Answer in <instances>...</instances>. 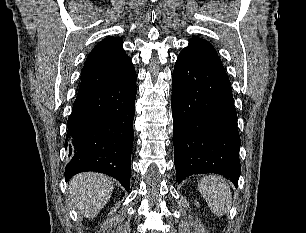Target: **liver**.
<instances>
[{"label": "liver", "mask_w": 306, "mask_h": 233, "mask_svg": "<svg viewBox=\"0 0 306 233\" xmlns=\"http://www.w3.org/2000/svg\"><path fill=\"white\" fill-rule=\"evenodd\" d=\"M70 201L80 214L94 218L107 204L113 192V181L103 174L87 172L69 182Z\"/></svg>", "instance_id": "1"}]
</instances>
